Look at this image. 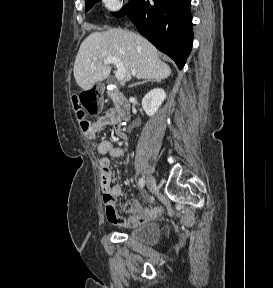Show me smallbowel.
<instances>
[{"instance_id":"c3829d8e","label":"small bowel","mask_w":273,"mask_h":288,"mask_svg":"<svg viewBox=\"0 0 273 288\" xmlns=\"http://www.w3.org/2000/svg\"><path fill=\"white\" fill-rule=\"evenodd\" d=\"M121 125V121L117 118L115 111L109 109L95 122L90 123L89 128L84 130V134L87 138L94 140L96 133L101 128L110 126L119 137L124 139L125 136L122 132ZM97 150L99 154L104 156L100 159L99 166L102 198L107 220L116 226L134 227L147 220L157 218L162 211L160 207L145 208L136 200H130L123 205V209L132 214L130 217L125 218L117 212L115 202L116 199L121 196L122 188L113 181L110 159L106 156L120 158L123 156L124 150L120 147L113 146V144L107 140L100 141L97 145Z\"/></svg>"}]
</instances>
